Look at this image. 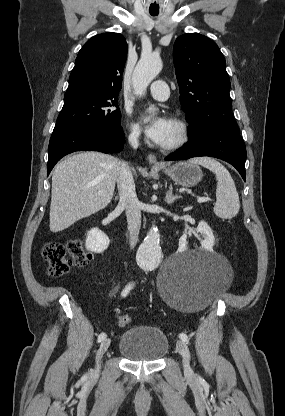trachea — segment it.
I'll use <instances>...</instances> for the list:
<instances>
[{"label":"trachea","instance_id":"trachea-1","mask_svg":"<svg viewBox=\"0 0 285 416\" xmlns=\"http://www.w3.org/2000/svg\"><path fill=\"white\" fill-rule=\"evenodd\" d=\"M150 15H152L153 17H156L158 14L151 13Z\"/></svg>","mask_w":285,"mask_h":416}]
</instances>
